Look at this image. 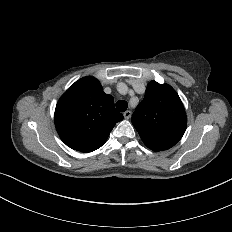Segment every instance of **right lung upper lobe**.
Instances as JSON below:
<instances>
[{
	"label": "right lung upper lobe",
	"instance_id": "1",
	"mask_svg": "<svg viewBox=\"0 0 232 232\" xmlns=\"http://www.w3.org/2000/svg\"><path fill=\"white\" fill-rule=\"evenodd\" d=\"M123 119L114 99L104 93L93 77L76 81L59 99L55 126L62 141L72 149L92 152L107 140L115 124Z\"/></svg>",
	"mask_w": 232,
	"mask_h": 232
}]
</instances>
